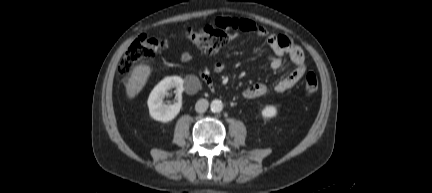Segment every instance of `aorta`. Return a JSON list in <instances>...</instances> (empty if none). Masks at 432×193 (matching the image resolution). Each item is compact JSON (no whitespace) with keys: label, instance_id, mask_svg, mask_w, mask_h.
Listing matches in <instances>:
<instances>
[{"label":"aorta","instance_id":"obj_1","mask_svg":"<svg viewBox=\"0 0 432 193\" xmlns=\"http://www.w3.org/2000/svg\"><path fill=\"white\" fill-rule=\"evenodd\" d=\"M211 111L214 113H219L223 110V103L221 100L215 99L210 104Z\"/></svg>","mask_w":432,"mask_h":193}]
</instances>
